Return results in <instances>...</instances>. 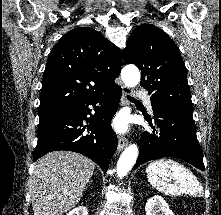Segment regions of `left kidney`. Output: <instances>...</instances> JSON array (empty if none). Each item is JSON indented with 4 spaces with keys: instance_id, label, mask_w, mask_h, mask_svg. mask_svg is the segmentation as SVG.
<instances>
[{
    "instance_id": "1",
    "label": "left kidney",
    "mask_w": 221,
    "mask_h": 215,
    "mask_svg": "<svg viewBox=\"0 0 221 215\" xmlns=\"http://www.w3.org/2000/svg\"><path fill=\"white\" fill-rule=\"evenodd\" d=\"M146 215H174L166 201L159 195L148 200L145 206Z\"/></svg>"
}]
</instances>
